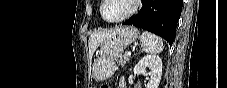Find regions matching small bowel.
Returning a JSON list of instances; mask_svg holds the SVG:
<instances>
[{
    "label": "small bowel",
    "mask_w": 227,
    "mask_h": 88,
    "mask_svg": "<svg viewBox=\"0 0 227 88\" xmlns=\"http://www.w3.org/2000/svg\"><path fill=\"white\" fill-rule=\"evenodd\" d=\"M118 87H120V88H125L126 87V83H125L124 79H120L119 80Z\"/></svg>",
    "instance_id": "c3829d8e"
}]
</instances>
